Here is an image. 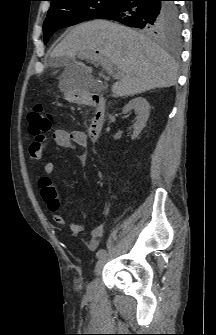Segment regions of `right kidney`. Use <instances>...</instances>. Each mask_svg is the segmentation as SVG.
<instances>
[{
    "label": "right kidney",
    "mask_w": 216,
    "mask_h": 335,
    "mask_svg": "<svg viewBox=\"0 0 216 335\" xmlns=\"http://www.w3.org/2000/svg\"><path fill=\"white\" fill-rule=\"evenodd\" d=\"M131 110L135 111V114L137 115L136 121L133 124V134H132V140L136 139L143 128L146 125V122L149 117L150 113V105L147 102V100L143 97H137L132 99L124 108H123V113L127 114Z\"/></svg>",
    "instance_id": "ca27d5eb"
}]
</instances>
